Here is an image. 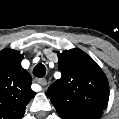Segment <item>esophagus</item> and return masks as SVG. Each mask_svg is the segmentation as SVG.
Segmentation results:
<instances>
[{"instance_id":"esophagus-1","label":"esophagus","mask_w":119,"mask_h":119,"mask_svg":"<svg viewBox=\"0 0 119 119\" xmlns=\"http://www.w3.org/2000/svg\"><path fill=\"white\" fill-rule=\"evenodd\" d=\"M34 82L40 83V84H45L46 80L44 78H35L33 79Z\"/></svg>"}]
</instances>
